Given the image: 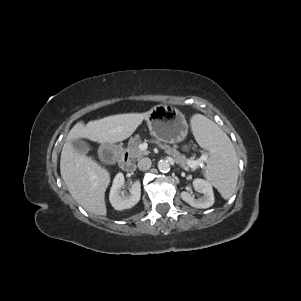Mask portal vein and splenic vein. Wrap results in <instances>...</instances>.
Returning <instances> with one entry per match:
<instances>
[{
	"label": "portal vein and splenic vein",
	"mask_w": 301,
	"mask_h": 301,
	"mask_svg": "<svg viewBox=\"0 0 301 301\" xmlns=\"http://www.w3.org/2000/svg\"><path fill=\"white\" fill-rule=\"evenodd\" d=\"M207 160V154H203L198 160H191L188 162L189 167L191 168H195L196 166H198L201 162L206 161Z\"/></svg>",
	"instance_id": "18ae733b"
}]
</instances>
